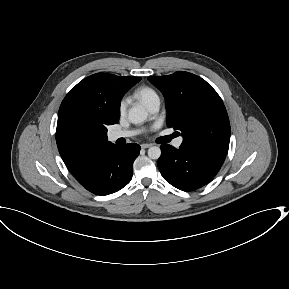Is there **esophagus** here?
<instances>
[{"label":"esophagus","instance_id":"1","mask_svg":"<svg viewBox=\"0 0 289 289\" xmlns=\"http://www.w3.org/2000/svg\"><path fill=\"white\" fill-rule=\"evenodd\" d=\"M151 146H152L151 144L146 143V144H142V145H141V148H142V149H146V148H149V147H151Z\"/></svg>","mask_w":289,"mask_h":289}]
</instances>
